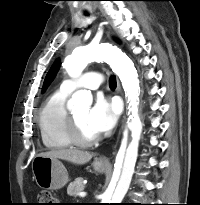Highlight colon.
<instances>
[{
    "mask_svg": "<svg viewBox=\"0 0 200 205\" xmlns=\"http://www.w3.org/2000/svg\"><path fill=\"white\" fill-rule=\"evenodd\" d=\"M38 205H54V198L49 191H41L38 194Z\"/></svg>",
    "mask_w": 200,
    "mask_h": 205,
    "instance_id": "obj_1",
    "label": "colon"
}]
</instances>
